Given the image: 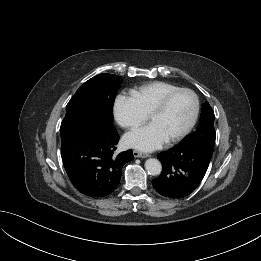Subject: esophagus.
I'll return each instance as SVG.
<instances>
[{"label":"esophagus","instance_id":"obj_1","mask_svg":"<svg viewBox=\"0 0 261 261\" xmlns=\"http://www.w3.org/2000/svg\"><path fill=\"white\" fill-rule=\"evenodd\" d=\"M133 154H134L135 158H147V157H149L148 154L142 153V152H140L138 150H134Z\"/></svg>","mask_w":261,"mask_h":261}]
</instances>
